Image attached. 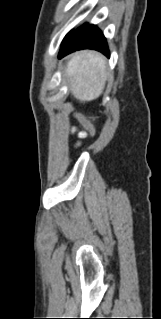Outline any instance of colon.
<instances>
[{"label":"colon","instance_id":"colon-1","mask_svg":"<svg viewBox=\"0 0 161 319\" xmlns=\"http://www.w3.org/2000/svg\"><path fill=\"white\" fill-rule=\"evenodd\" d=\"M75 116L87 133L90 135L95 134V128L88 119H86L80 112H76Z\"/></svg>","mask_w":161,"mask_h":319}]
</instances>
